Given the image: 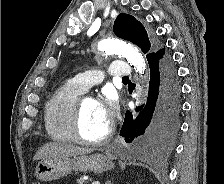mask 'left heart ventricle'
Here are the masks:
<instances>
[{
	"label": "left heart ventricle",
	"instance_id": "left-heart-ventricle-1",
	"mask_svg": "<svg viewBox=\"0 0 224 184\" xmlns=\"http://www.w3.org/2000/svg\"><path fill=\"white\" fill-rule=\"evenodd\" d=\"M110 122L106 121L98 110V104L91 98H86L83 103L81 132L87 139L103 137Z\"/></svg>",
	"mask_w": 224,
	"mask_h": 184
}]
</instances>
